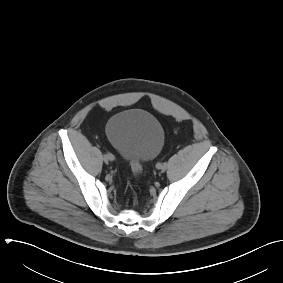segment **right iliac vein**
Instances as JSON below:
<instances>
[{"mask_svg":"<svg viewBox=\"0 0 283 283\" xmlns=\"http://www.w3.org/2000/svg\"><path fill=\"white\" fill-rule=\"evenodd\" d=\"M111 159H112V156H111V155L105 154V155L103 156V160H104V162H105L106 164H108L109 161H112Z\"/></svg>","mask_w":283,"mask_h":283,"instance_id":"63e3f726","label":"right iliac vein"}]
</instances>
